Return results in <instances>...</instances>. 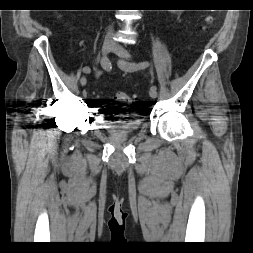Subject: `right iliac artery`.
<instances>
[{"mask_svg": "<svg viewBox=\"0 0 253 253\" xmlns=\"http://www.w3.org/2000/svg\"><path fill=\"white\" fill-rule=\"evenodd\" d=\"M101 66L106 70L110 69V63H109V60L106 56H103L101 58ZM82 74L83 75H90L91 74L90 68L89 67H83L82 68Z\"/></svg>", "mask_w": 253, "mask_h": 253, "instance_id": "right-iliac-artery-1", "label": "right iliac artery"}]
</instances>
